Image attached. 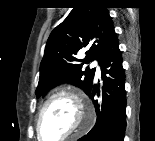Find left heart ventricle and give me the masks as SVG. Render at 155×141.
<instances>
[{
	"instance_id": "b2bd125f",
	"label": "left heart ventricle",
	"mask_w": 155,
	"mask_h": 141,
	"mask_svg": "<svg viewBox=\"0 0 155 141\" xmlns=\"http://www.w3.org/2000/svg\"><path fill=\"white\" fill-rule=\"evenodd\" d=\"M78 123L77 109L71 100L59 97L45 108L40 123L46 141H55L74 129Z\"/></svg>"
}]
</instances>
